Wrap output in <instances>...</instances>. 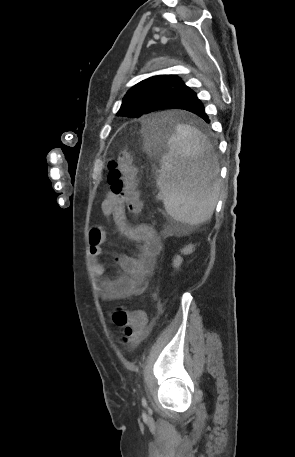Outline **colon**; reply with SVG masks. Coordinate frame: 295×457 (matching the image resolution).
<instances>
[{
    "instance_id": "1",
    "label": "colon",
    "mask_w": 295,
    "mask_h": 457,
    "mask_svg": "<svg viewBox=\"0 0 295 457\" xmlns=\"http://www.w3.org/2000/svg\"><path fill=\"white\" fill-rule=\"evenodd\" d=\"M108 183L111 192L130 213L140 214L142 205L136 190V170L128 153L123 152L117 159L108 162ZM112 320L123 328V340L127 343L139 342L147 326L144 312H128L123 307L115 308Z\"/></svg>"
}]
</instances>
